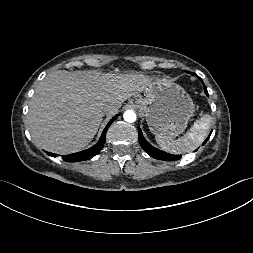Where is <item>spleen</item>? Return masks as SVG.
I'll return each mask as SVG.
<instances>
[{"label": "spleen", "instance_id": "obj_1", "mask_svg": "<svg viewBox=\"0 0 253 253\" xmlns=\"http://www.w3.org/2000/svg\"><path fill=\"white\" fill-rule=\"evenodd\" d=\"M211 120V116L205 114L178 140L156 135V142L163 150L172 154H183L193 151L199 147L207 137Z\"/></svg>", "mask_w": 253, "mask_h": 253}]
</instances>
